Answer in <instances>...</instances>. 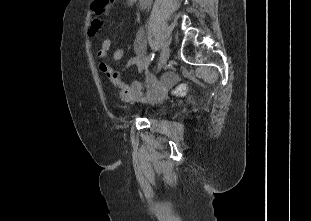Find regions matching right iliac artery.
Wrapping results in <instances>:
<instances>
[{
    "instance_id": "right-iliac-artery-1",
    "label": "right iliac artery",
    "mask_w": 311,
    "mask_h": 221,
    "mask_svg": "<svg viewBox=\"0 0 311 221\" xmlns=\"http://www.w3.org/2000/svg\"><path fill=\"white\" fill-rule=\"evenodd\" d=\"M155 54L154 53H151L149 54L146 59H145V64H144V68L147 69L148 66L150 65L151 61L153 60Z\"/></svg>"
}]
</instances>
